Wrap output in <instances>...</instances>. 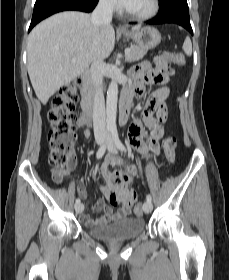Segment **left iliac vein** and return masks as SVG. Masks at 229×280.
<instances>
[{
  "label": "left iliac vein",
  "instance_id": "obj_1",
  "mask_svg": "<svg viewBox=\"0 0 229 280\" xmlns=\"http://www.w3.org/2000/svg\"><path fill=\"white\" fill-rule=\"evenodd\" d=\"M107 149L110 153H116L117 152V149H116L113 141L110 138L108 139ZM143 211L146 214H148L152 211V203L150 201H145L143 203Z\"/></svg>",
  "mask_w": 229,
  "mask_h": 280
}]
</instances>
